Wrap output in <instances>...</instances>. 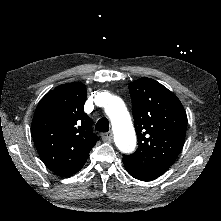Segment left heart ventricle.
Instances as JSON below:
<instances>
[{"label": "left heart ventricle", "mask_w": 221, "mask_h": 221, "mask_svg": "<svg viewBox=\"0 0 221 221\" xmlns=\"http://www.w3.org/2000/svg\"><path fill=\"white\" fill-rule=\"evenodd\" d=\"M157 172L156 171H154L153 169H151V168H147L146 170H145V172H144V174H146V175H149V174H156Z\"/></svg>", "instance_id": "b2bd125f"}]
</instances>
